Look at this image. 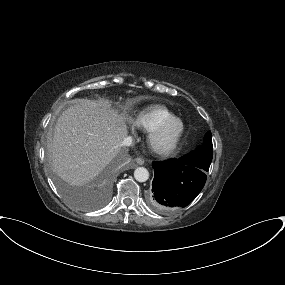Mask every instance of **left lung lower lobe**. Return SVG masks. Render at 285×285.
I'll use <instances>...</instances> for the list:
<instances>
[{"label":"left lung lower lobe","instance_id":"obj_1","mask_svg":"<svg viewBox=\"0 0 285 285\" xmlns=\"http://www.w3.org/2000/svg\"><path fill=\"white\" fill-rule=\"evenodd\" d=\"M155 171L148 201L160 213H171L189 205L205 185L207 171L170 159L152 163Z\"/></svg>","mask_w":285,"mask_h":285}]
</instances>
